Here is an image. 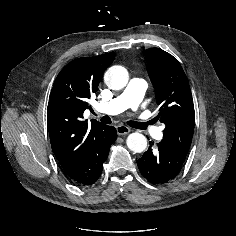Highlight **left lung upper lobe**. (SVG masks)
Masks as SVG:
<instances>
[{
    "instance_id": "1",
    "label": "left lung upper lobe",
    "mask_w": 236,
    "mask_h": 236,
    "mask_svg": "<svg viewBox=\"0 0 236 236\" xmlns=\"http://www.w3.org/2000/svg\"><path fill=\"white\" fill-rule=\"evenodd\" d=\"M148 73L156 91L159 114L155 119L165 125L162 143L186 156L195 123L194 104L187 77L171 54L159 48L145 51Z\"/></svg>"
}]
</instances>
